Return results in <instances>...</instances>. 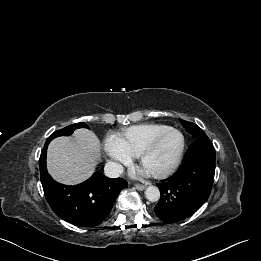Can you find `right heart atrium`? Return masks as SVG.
Wrapping results in <instances>:
<instances>
[{
    "label": "right heart atrium",
    "mask_w": 261,
    "mask_h": 261,
    "mask_svg": "<svg viewBox=\"0 0 261 261\" xmlns=\"http://www.w3.org/2000/svg\"><path fill=\"white\" fill-rule=\"evenodd\" d=\"M104 150L111 162L115 163L117 167L128 165L131 162V156L120 146L114 136L105 141Z\"/></svg>",
    "instance_id": "d8ad5b80"
}]
</instances>
